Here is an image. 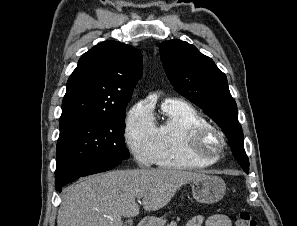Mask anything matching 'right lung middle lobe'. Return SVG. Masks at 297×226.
Wrapping results in <instances>:
<instances>
[{
    "label": "right lung middle lobe",
    "mask_w": 297,
    "mask_h": 226,
    "mask_svg": "<svg viewBox=\"0 0 297 226\" xmlns=\"http://www.w3.org/2000/svg\"><path fill=\"white\" fill-rule=\"evenodd\" d=\"M125 112L117 116H75L59 123L56 169L96 159L129 158L124 142Z\"/></svg>",
    "instance_id": "right-lung-middle-lobe-1"
}]
</instances>
